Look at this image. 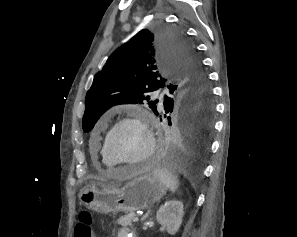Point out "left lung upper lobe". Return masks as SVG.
Here are the masks:
<instances>
[{"mask_svg": "<svg viewBox=\"0 0 297 237\" xmlns=\"http://www.w3.org/2000/svg\"><path fill=\"white\" fill-rule=\"evenodd\" d=\"M192 45L177 29H143L117 49L98 72L86 95L82 127L89 132L113 105L147 104L160 115L149 93L166 87L177 104L211 101L207 77ZM165 96L164 106L167 102ZM165 109V108H164Z\"/></svg>", "mask_w": 297, "mask_h": 237, "instance_id": "left-lung-upper-lobe-1", "label": "left lung upper lobe"}]
</instances>
